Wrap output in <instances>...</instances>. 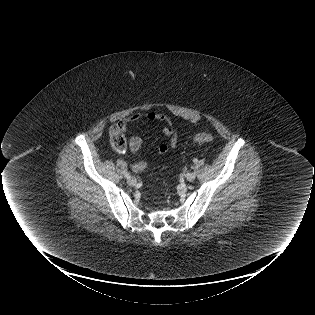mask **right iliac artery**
<instances>
[{"instance_id":"right-iliac-artery-1","label":"right iliac artery","mask_w":315,"mask_h":315,"mask_svg":"<svg viewBox=\"0 0 315 315\" xmlns=\"http://www.w3.org/2000/svg\"><path fill=\"white\" fill-rule=\"evenodd\" d=\"M125 177H126L127 179H129V178L131 177V175H130L129 173H126V174H125Z\"/></svg>"}]
</instances>
